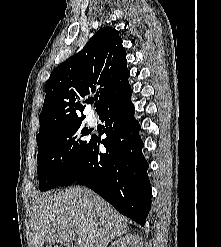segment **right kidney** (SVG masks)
<instances>
[{"mask_svg": "<svg viewBox=\"0 0 221 247\" xmlns=\"http://www.w3.org/2000/svg\"><path fill=\"white\" fill-rule=\"evenodd\" d=\"M110 247H143V241L139 235L128 234L115 240Z\"/></svg>", "mask_w": 221, "mask_h": 247, "instance_id": "obj_1", "label": "right kidney"}]
</instances>
